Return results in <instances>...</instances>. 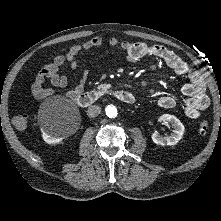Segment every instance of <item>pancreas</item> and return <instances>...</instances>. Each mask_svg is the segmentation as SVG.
<instances>
[{"mask_svg":"<svg viewBox=\"0 0 221 221\" xmlns=\"http://www.w3.org/2000/svg\"><path fill=\"white\" fill-rule=\"evenodd\" d=\"M109 86L107 84H101L97 87L98 90L106 92Z\"/></svg>","mask_w":221,"mask_h":221,"instance_id":"pancreas-1","label":"pancreas"}]
</instances>
